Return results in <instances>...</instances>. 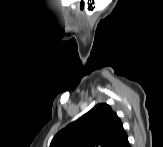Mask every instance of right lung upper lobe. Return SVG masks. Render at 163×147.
<instances>
[{
    "instance_id": "obj_1",
    "label": "right lung upper lobe",
    "mask_w": 163,
    "mask_h": 147,
    "mask_svg": "<svg viewBox=\"0 0 163 147\" xmlns=\"http://www.w3.org/2000/svg\"><path fill=\"white\" fill-rule=\"evenodd\" d=\"M124 135L119 117L108 104L101 103L60 130L50 147H113Z\"/></svg>"
}]
</instances>
